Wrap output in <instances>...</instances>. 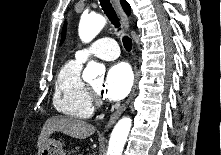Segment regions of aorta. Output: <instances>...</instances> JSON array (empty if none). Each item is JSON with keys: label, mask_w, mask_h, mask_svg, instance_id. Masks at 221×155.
Wrapping results in <instances>:
<instances>
[{"label": "aorta", "mask_w": 221, "mask_h": 155, "mask_svg": "<svg viewBox=\"0 0 221 155\" xmlns=\"http://www.w3.org/2000/svg\"><path fill=\"white\" fill-rule=\"evenodd\" d=\"M106 20L101 15L84 16L79 24L80 39L88 43L92 41L105 26ZM105 68L103 65L90 61L84 72L85 80H92L96 76L103 75ZM132 120L130 117L121 118L115 125L109 140L107 155H122V151L127 140Z\"/></svg>", "instance_id": "762f6f07"}]
</instances>
